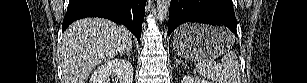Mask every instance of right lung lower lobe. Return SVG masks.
I'll use <instances>...</instances> for the list:
<instances>
[{
	"instance_id": "98d812e1",
	"label": "right lung lower lobe",
	"mask_w": 307,
	"mask_h": 83,
	"mask_svg": "<svg viewBox=\"0 0 307 83\" xmlns=\"http://www.w3.org/2000/svg\"><path fill=\"white\" fill-rule=\"evenodd\" d=\"M145 4L146 0H69L62 31L78 19L101 17L124 24L140 42Z\"/></svg>"
}]
</instances>
